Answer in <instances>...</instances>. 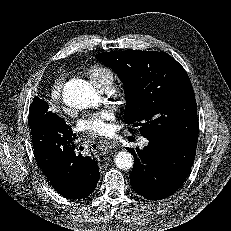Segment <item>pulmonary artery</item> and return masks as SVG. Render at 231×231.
<instances>
[{
	"label": "pulmonary artery",
	"instance_id": "obj_1",
	"mask_svg": "<svg viewBox=\"0 0 231 231\" xmlns=\"http://www.w3.org/2000/svg\"><path fill=\"white\" fill-rule=\"evenodd\" d=\"M110 86H105L104 88L101 89V91H107L109 89ZM146 143V141H141L140 144L144 145Z\"/></svg>",
	"mask_w": 231,
	"mask_h": 231
}]
</instances>
